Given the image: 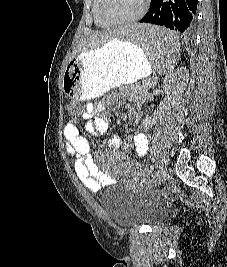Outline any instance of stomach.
<instances>
[{
    "label": "stomach",
    "instance_id": "0dacf381",
    "mask_svg": "<svg viewBox=\"0 0 227 267\" xmlns=\"http://www.w3.org/2000/svg\"><path fill=\"white\" fill-rule=\"evenodd\" d=\"M151 72L152 63L142 47L118 37L73 57L66 65L64 82L59 83L71 101H87L114 87L134 84Z\"/></svg>",
    "mask_w": 227,
    "mask_h": 267
}]
</instances>
